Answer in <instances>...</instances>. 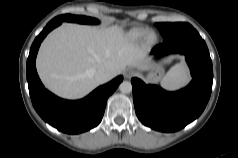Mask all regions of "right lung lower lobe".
Instances as JSON below:
<instances>
[{"label": "right lung lower lobe", "mask_w": 238, "mask_h": 158, "mask_svg": "<svg viewBox=\"0 0 238 158\" xmlns=\"http://www.w3.org/2000/svg\"><path fill=\"white\" fill-rule=\"evenodd\" d=\"M62 22L61 19L55 17L36 37L27 59L26 74L32 104L42 119L61 132L78 134L88 131L100 123L107 99L122 82L123 77H116L78 101L61 99L46 90L36 71V55L42 40Z\"/></svg>", "instance_id": "1"}]
</instances>
